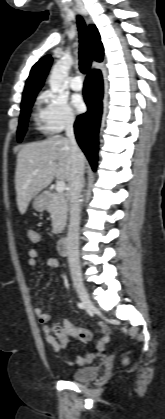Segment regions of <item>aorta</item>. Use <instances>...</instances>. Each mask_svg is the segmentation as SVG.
<instances>
[{
    "label": "aorta",
    "instance_id": "762f6f07",
    "mask_svg": "<svg viewBox=\"0 0 165 419\" xmlns=\"http://www.w3.org/2000/svg\"><path fill=\"white\" fill-rule=\"evenodd\" d=\"M73 64V59L69 54H65L60 60L53 66L51 75L49 78V85L53 92H60L63 81L67 76Z\"/></svg>",
    "mask_w": 165,
    "mask_h": 419
}]
</instances>
